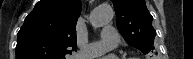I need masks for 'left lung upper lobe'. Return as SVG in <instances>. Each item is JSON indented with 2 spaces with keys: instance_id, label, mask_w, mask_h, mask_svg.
<instances>
[{
  "instance_id": "5c2ea615",
  "label": "left lung upper lobe",
  "mask_w": 193,
  "mask_h": 59,
  "mask_svg": "<svg viewBox=\"0 0 193 59\" xmlns=\"http://www.w3.org/2000/svg\"><path fill=\"white\" fill-rule=\"evenodd\" d=\"M116 25L124 39L144 54L154 50L156 31L144 0H112Z\"/></svg>"
}]
</instances>
